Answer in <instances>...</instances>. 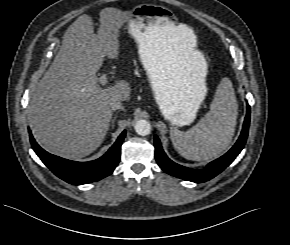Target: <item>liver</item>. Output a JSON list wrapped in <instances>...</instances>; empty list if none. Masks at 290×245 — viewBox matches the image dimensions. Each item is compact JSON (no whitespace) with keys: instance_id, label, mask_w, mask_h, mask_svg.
<instances>
[{"instance_id":"1","label":"liver","mask_w":290,"mask_h":245,"mask_svg":"<svg viewBox=\"0 0 290 245\" xmlns=\"http://www.w3.org/2000/svg\"><path fill=\"white\" fill-rule=\"evenodd\" d=\"M128 19L116 10L100 13V27L81 15L67 29L54 62L35 89L28 108L30 127L36 140L50 152L81 159L102 143L112 118L110 103L129 102V83L120 80L101 88L97 72L105 56L118 59L119 29ZM185 27H174L166 36L174 60L183 69L197 53L186 38Z\"/></svg>"}]
</instances>
